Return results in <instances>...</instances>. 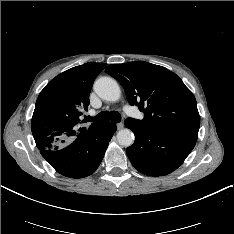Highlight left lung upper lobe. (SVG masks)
<instances>
[{
    "mask_svg": "<svg viewBox=\"0 0 234 234\" xmlns=\"http://www.w3.org/2000/svg\"><path fill=\"white\" fill-rule=\"evenodd\" d=\"M105 71L144 113L142 120H133L151 127L199 129L195 97L175 73L144 61L112 64Z\"/></svg>",
    "mask_w": 234,
    "mask_h": 234,
    "instance_id": "5c2ea615",
    "label": "left lung upper lobe"
}]
</instances>
